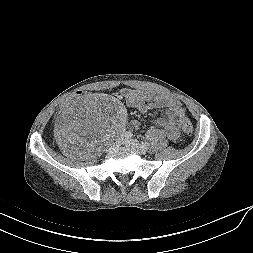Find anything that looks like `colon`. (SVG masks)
Returning <instances> with one entry per match:
<instances>
[{"label": "colon", "mask_w": 253, "mask_h": 253, "mask_svg": "<svg viewBox=\"0 0 253 253\" xmlns=\"http://www.w3.org/2000/svg\"><path fill=\"white\" fill-rule=\"evenodd\" d=\"M94 95H95V92L93 90H83V91L75 92L74 94L69 95L65 99V102L58 107V110L60 112H63L64 110L68 109L71 106L72 102L75 99L93 97ZM181 129L185 134L190 135L193 132V125L188 119H183L181 121Z\"/></svg>", "instance_id": "1"}]
</instances>
